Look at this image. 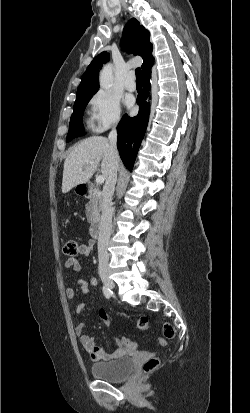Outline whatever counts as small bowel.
Segmentation results:
<instances>
[{"label":"small bowel","instance_id":"1","mask_svg":"<svg viewBox=\"0 0 250 413\" xmlns=\"http://www.w3.org/2000/svg\"><path fill=\"white\" fill-rule=\"evenodd\" d=\"M94 247V241L89 240L87 243L79 245L77 255L80 256H89ZM77 255L69 256L64 261V267L66 269H72L79 272L81 270V265L77 259ZM98 281L95 277H90L89 281L78 280L75 282L73 287L66 289V296L68 299H73L78 293L86 294L89 291V285L95 286ZM86 302H80L76 306V314L80 315L82 311L86 308ZM111 323V322H110ZM86 323H79L75 332L80 340L82 347L88 352L91 359L94 361H107L121 356L126 348L119 342V339L116 340L117 348L113 352H107L103 346L96 344L93 337L85 333Z\"/></svg>","mask_w":250,"mask_h":413}]
</instances>
